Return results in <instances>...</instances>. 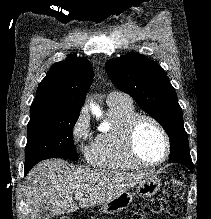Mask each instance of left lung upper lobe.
I'll use <instances>...</instances> for the list:
<instances>
[{
  "label": "left lung upper lobe",
  "instance_id": "left-lung-upper-lobe-1",
  "mask_svg": "<svg viewBox=\"0 0 211 219\" xmlns=\"http://www.w3.org/2000/svg\"><path fill=\"white\" fill-rule=\"evenodd\" d=\"M106 71L117 88L132 96L165 129L170 140L169 157L190 153L182 109L161 66L143 55L130 53L107 61Z\"/></svg>",
  "mask_w": 211,
  "mask_h": 219
}]
</instances>
